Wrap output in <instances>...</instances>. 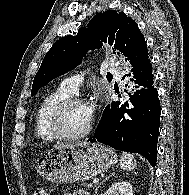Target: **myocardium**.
<instances>
[{
    "label": "myocardium",
    "mask_w": 189,
    "mask_h": 195,
    "mask_svg": "<svg viewBox=\"0 0 189 195\" xmlns=\"http://www.w3.org/2000/svg\"><path fill=\"white\" fill-rule=\"evenodd\" d=\"M76 104H86V101L77 96H70L59 103L56 108L53 110L51 117H50V127L55 135L64 140H80L84 137L88 136L89 133L92 131L94 126V118L91 117V120L87 127L78 134H70L68 133L63 127V119L64 115L69 108Z\"/></svg>",
    "instance_id": "f54148a6"
}]
</instances>
